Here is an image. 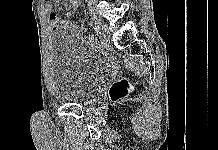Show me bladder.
<instances>
[{
  "mask_svg": "<svg viewBox=\"0 0 218 150\" xmlns=\"http://www.w3.org/2000/svg\"><path fill=\"white\" fill-rule=\"evenodd\" d=\"M55 67L52 91L65 104L92 98L111 72L108 59L92 44L71 32H59L53 41Z\"/></svg>",
  "mask_w": 218,
  "mask_h": 150,
  "instance_id": "1",
  "label": "bladder"
}]
</instances>
